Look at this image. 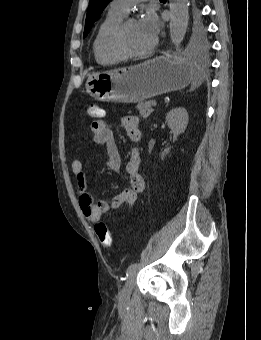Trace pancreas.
Returning a JSON list of instances; mask_svg holds the SVG:
<instances>
[{"instance_id":"obj_1","label":"pancreas","mask_w":261,"mask_h":340,"mask_svg":"<svg viewBox=\"0 0 261 340\" xmlns=\"http://www.w3.org/2000/svg\"><path fill=\"white\" fill-rule=\"evenodd\" d=\"M153 100L146 102H139L137 105V109L139 110L140 115L143 118H147L153 113L154 109L152 108Z\"/></svg>"}]
</instances>
